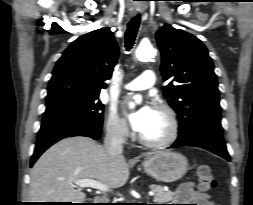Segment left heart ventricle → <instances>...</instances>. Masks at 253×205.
Returning a JSON list of instances; mask_svg holds the SVG:
<instances>
[{
    "label": "left heart ventricle",
    "instance_id": "left-heart-ventricle-1",
    "mask_svg": "<svg viewBox=\"0 0 253 205\" xmlns=\"http://www.w3.org/2000/svg\"><path fill=\"white\" fill-rule=\"evenodd\" d=\"M168 131L169 124L166 116L155 109L150 122L140 135L149 140H159L164 138Z\"/></svg>",
    "mask_w": 253,
    "mask_h": 205
}]
</instances>
